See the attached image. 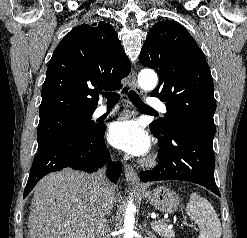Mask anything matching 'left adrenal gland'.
I'll use <instances>...</instances> for the list:
<instances>
[{
  "mask_svg": "<svg viewBox=\"0 0 247 238\" xmlns=\"http://www.w3.org/2000/svg\"><path fill=\"white\" fill-rule=\"evenodd\" d=\"M143 226H144V231L147 233L148 236H150V238H156L155 235H154L152 232H150V231L147 230V228H146V226H147V221H146V220H145Z\"/></svg>",
  "mask_w": 247,
  "mask_h": 238,
  "instance_id": "1",
  "label": "left adrenal gland"
}]
</instances>
